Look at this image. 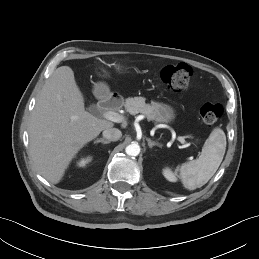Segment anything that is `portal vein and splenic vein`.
Returning <instances> with one entry per match:
<instances>
[{
  "instance_id": "1",
  "label": "portal vein and splenic vein",
  "mask_w": 259,
  "mask_h": 259,
  "mask_svg": "<svg viewBox=\"0 0 259 259\" xmlns=\"http://www.w3.org/2000/svg\"><path fill=\"white\" fill-rule=\"evenodd\" d=\"M103 117L107 120H110L112 122L121 123L124 122V117L116 112L113 111H107L103 114ZM177 140L183 144L184 148L189 147V143L186 142V140L183 137H178Z\"/></svg>"
}]
</instances>
